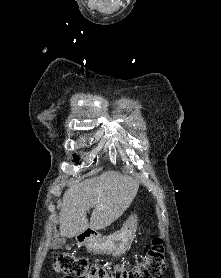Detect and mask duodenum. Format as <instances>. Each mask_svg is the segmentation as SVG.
Instances as JSON below:
<instances>
[{"instance_id":"410a0bca","label":"duodenum","mask_w":221,"mask_h":278,"mask_svg":"<svg viewBox=\"0 0 221 278\" xmlns=\"http://www.w3.org/2000/svg\"><path fill=\"white\" fill-rule=\"evenodd\" d=\"M92 234L93 231L91 229H87L84 232H82L79 236V241L81 243H87L88 241H90L92 239Z\"/></svg>"}]
</instances>
